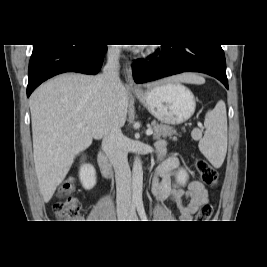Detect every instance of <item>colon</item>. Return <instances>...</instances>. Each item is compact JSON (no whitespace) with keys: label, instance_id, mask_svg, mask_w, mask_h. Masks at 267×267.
Returning <instances> with one entry per match:
<instances>
[{"label":"colon","instance_id":"1","mask_svg":"<svg viewBox=\"0 0 267 267\" xmlns=\"http://www.w3.org/2000/svg\"><path fill=\"white\" fill-rule=\"evenodd\" d=\"M196 169L202 181L209 186H216L219 182V175L207 161L197 159L195 161ZM74 184L70 180L64 181L58 191L60 200L53 206L55 217L61 222H74L81 217V203L72 195ZM213 214V206L210 203L201 205L198 214V222H208Z\"/></svg>","mask_w":267,"mask_h":267}]
</instances>
